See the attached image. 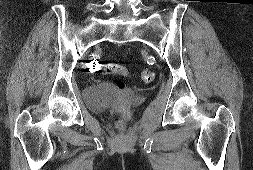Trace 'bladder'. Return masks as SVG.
<instances>
[{
    "mask_svg": "<svg viewBox=\"0 0 253 170\" xmlns=\"http://www.w3.org/2000/svg\"><path fill=\"white\" fill-rule=\"evenodd\" d=\"M117 98H122L131 105H137L143 100V96L137 93L125 95L107 83L90 85L85 91V101L95 111L104 110Z\"/></svg>",
    "mask_w": 253,
    "mask_h": 170,
    "instance_id": "obj_1",
    "label": "bladder"
}]
</instances>
